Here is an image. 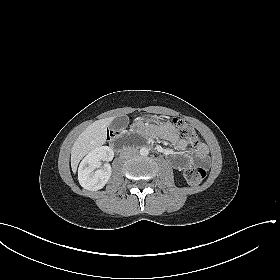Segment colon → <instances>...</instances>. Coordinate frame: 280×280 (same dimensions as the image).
Instances as JSON below:
<instances>
[{"mask_svg": "<svg viewBox=\"0 0 280 280\" xmlns=\"http://www.w3.org/2000/svg\"><path fill=\"white\" fill-rule=\"evenodd\" d=\"M172 122L181 138L186 139L193 146L199 145L198 132L192 125L180 118H174ZM206 175V169L201 166H191L184 171L185 179L192 185L201 183Z\"/></svg>", "mask_w": 280, "mask_h": 280, "instance_id": "colon-1", "label": "colon"}]
</instances>
